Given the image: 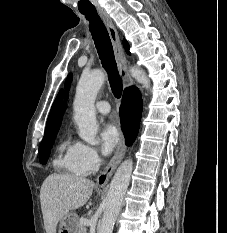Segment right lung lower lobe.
<instances>
[{"label": "right lung lower lobe", "instance_id": "1", "mask_svg": "<svg viewBox=\"0 0 227 233\" xmlns=\"http://www.w3.org/2000/svg\"><path fill=\"white\" fill-rule=\"evenodd\" d=\"M134 88L135 87H129L125 89L120 107L122 130L125 135L127 146H130L136 139L140 123L139 110H137L133 99Z\"/></svg>", "mask_w": 227, "mask_h": 233}]
</instances>
